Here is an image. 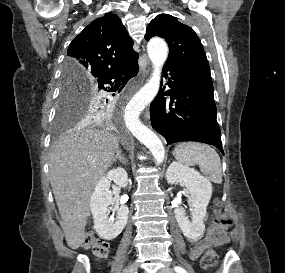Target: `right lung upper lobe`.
<instances>
[{
    "mask_svg": "<svg viewBox=\"0 0 285 273\" xmlns=\"http://www.w3.org/2000/svg\"><path fill=\"white\" fill-rule=\"evenodd\" d=\"M121 20L113 13L92 21L70 43L64 70L92 83L97 77L138 59Z\"/></svg>",
    "mask_w": 285,
    "mask_h": 273,
    "instance_id": "cb5924a9",
    "label": "right lung upper lobe"
}]
</instances>
